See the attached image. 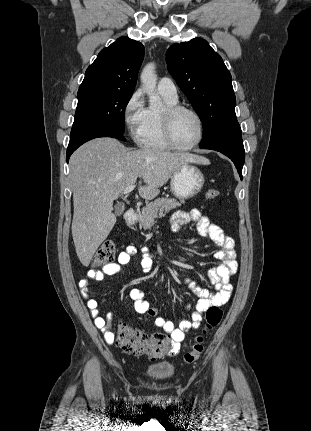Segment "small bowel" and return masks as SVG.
I'll return each instance as SVG.
<instances>
[{"instance_id":"obj_1","label":"small bowel","mask_w":311,"mask_h":431,"mask_svg":"<svg viewBox=\"0 0 311 431\" xmlns=\"http://www.w3.org/2000/svg\"><path fill=\"white\" fill-rule=\"evenodd\" d=\"M190 222L196 224L197 230L201 236L208 238L211 242L220 247V250L215 255L218 264L208 272V278L214 284L213 290L210 291L198 287L190 280H187L189 287L200 298L196 311L191 315V318L183 320L180 325L176 327L173 322L158 316V310L152 307L146 300L144 291L133 288L129 292V297L133 301L134 310L139 314H148L150 317L154 318L155 325L168 333L177 346L183 341L187 332L199 327L202 321V315L208 308L211 306L219 307L228 302L233 289L232 285L229 283V278L237 269L234 240L226 236L221 227L212 223L210 219L202 215L199 210L193 209L189 212H176L170 219L171 228L174 233H178L182 225ZM141 251L140 265L142 270L147 273L151 271L157 256L151 253L147 248H143ZM135 254L136 248L129 245L118 255L115 263L105 265L100 270H89L86 279H82L79 282L81 294L86 301V306L90 311L94 324L101 331L108 344L114 342V335L111 328L112 316L111 314H108L106 317L100 315L97 301L90 297L89 281H102L108 276L121 273L123 267L131 262Z\"/></svg>"}]
</instances>
